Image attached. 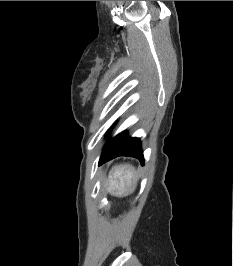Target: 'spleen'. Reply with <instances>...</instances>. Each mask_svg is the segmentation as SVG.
<instances>
[{"mask_svg":"<svg viewBox=\"0 0 233 266\" xmlns=\"http://www.w3.org/2000/svg\"><path fill=\"white\" fill-rule=\"evenodd\" d=\"M108 182L109 193L116 196L125 195L132 191V185L135 182V169L131 165L114 166L109 173Z\"/></svg>","mask_w":233,"mask_h":266,"instance_id":"1","label":"spleen"}]
</instances>
